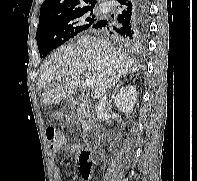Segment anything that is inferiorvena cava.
<instances>
[{
  "mask_svg": "<svg viewBox=\"0 0 197 181\" xmlns=\"http://www.w3.org/2000/svg\"><path fill=\"white\" fill-rule=\"evenodd\" d=\"M107 94H108V88H105L103 90L102 96L99 99L98 106L96 108L97 117L102 119L107 114Z\"/></svg>",
  "mask_w": 197,
  "mask_h": 181,
  "instance_id": "602c4592",
  "label": "inferior vena cava"
}]
</instances>
